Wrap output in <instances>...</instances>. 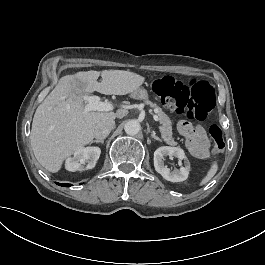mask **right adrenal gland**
Returning <instances> with one entry per match:
<instances>
[{
	"instance_id": "obj_1",
	"label": "right adrenal gland",
	"mask_w": 265,
	"mask_h": 265,
	"mask_svg": "<svg viewBox=\"0 0 265 265\" xmlns=\"http://www.w3.org/2000/svg\"><path fill=\"white\" fill-rule=\"evenodd\" d=\"M104 139H102V140H95V141H92V143H101V144H103L104 143Z\"/></svg>"
}]
</instances>
